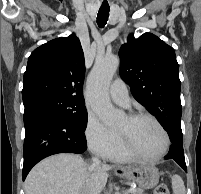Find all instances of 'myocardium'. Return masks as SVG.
I'll use <instances>...</instances> for the list:
<instances>
[{"label":"myocardium","mask_w":201,"mask_h":194,"mask_svg":"<svg viewBox=\"0 0 201 194\" xmlns=\"http://www.w3.org/2000/svg\"><path fill=\"white\" fill-rule=\"evenodd\" d=\"M127 117L130 120H137V119H141V118H146V119H149L152 122H154L157 125V127L160 129V131L162 132V134L164 136L165 144H164L163 149L158 154H156V155H145V154L138 152L132 146L128 137L124 133L119 131V136H120L122 145H123L124 149L126 150V152L136 159L145 160V161H156V160L163 158L168 153V151L170 149L171 137H170L169 132L165 128V126L160 122V120L157 119L154 115H152L150 113H146V112H134V113L129 114Z\"/></svg>","instance_id":"obj_1"}]
</instances>
